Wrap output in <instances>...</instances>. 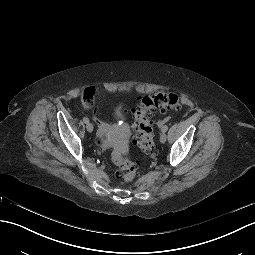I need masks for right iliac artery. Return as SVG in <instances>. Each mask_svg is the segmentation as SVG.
<instances>
[{
	"instance_id": "1",
	"label": "right iliac artery",
	"mask_w": 255,
	"mask_h": 255,
	"mask_svg": "<svg viewBox=\"0 0 255 255\" xmlns=\"http://www.w3.org/2000/svg\"><path fill=\"white\" fill-rule=\"evenodd\" d=\"M83 121H84V123H86V124L89 123V119H88L87 117H84V118H83Z\"/></svg>"
}]
</instances>
